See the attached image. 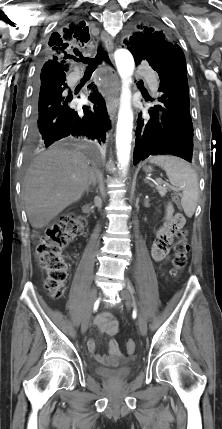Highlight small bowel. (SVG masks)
I'll use <instances>...</instances> for the list:
<instances>
[{
  "instance_id": "c3829d8e",
  "label": "small bowel",
  "mask_w": 222,
  "mask_h": 429,
  "mask_svg": "<svg viewBox=\"0 0 222 429\" xmlns=\"http://www.w3.org/2000/svg\"><path fill=\"white\" fill-rule=\"evenodd\" d=\"M185 224V217L181 213H174L173 206L168 204L162 226L156 231V240L151 248V256L156 262L168 259L171 245L177 231ZM94 324L100 332L106 333L111 339L108 343V354H99L97 344L93 338L88 339L87 347L93 358L104 366L118 367L127 362L122 354L118 342L113 337L119 331L117 320L109 312H102L94 318Z\"/></svg>"
}]
</instances>
